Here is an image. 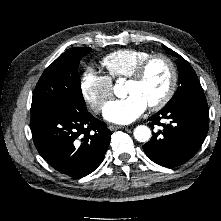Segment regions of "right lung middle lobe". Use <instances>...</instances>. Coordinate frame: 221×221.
<instances>
[{
    "label": "right lung middle lobe",
    "instance_id": "right-lung-middle-lobe-1",
    "mask_svg": "<svg viewBox=\"0 0 221 221\" xmlns=\"http://www.w3.org/2000/svg\"><path fill=\"white\" fill-rule=\"evenodd\" d=\"M91 48L75 47L60 55L40 77L32 98L31 114L62 105L86 108L78 66Z\"/></svg>",
    "mask_w": 221,
    "mask_h": 221
}]
</instances>
